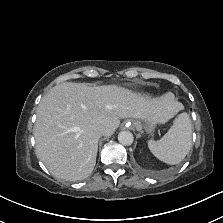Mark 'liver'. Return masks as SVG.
I'll return each mask as SVG.
<instances>
[{
	"mask_svg": "<svg viewBox=\"0 0 223 223\" xmlns=\"http://www.w3.org/2000/svg\"><path fill=\"white\" fill-rule=\"evenodd\" d=\"M183 106L172 93L159 98L116 86L91 87L64 82L54 86L41 100L34 125L36 156L52 175L77 181L88 177L96 164L99 137L118 128L120 119H151L165 124Z\"/></svg>",
	"mask_w": 223,
	"mask_h": 223,
	"instance_id": "1",
	"label": "liver"
}]
</instances>
